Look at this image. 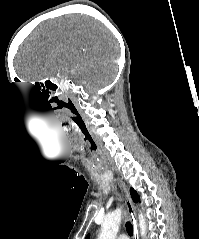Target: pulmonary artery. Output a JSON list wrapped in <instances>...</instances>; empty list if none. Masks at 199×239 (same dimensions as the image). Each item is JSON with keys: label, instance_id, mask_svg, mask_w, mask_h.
Listing matches in <instances>:
<instances>
[{"label": "pulmonary artery", "instance_id": "pulmonary-artery-1", "mask_svg": "<svg viewBox=\"0 0 199 239\" xmlns=\"http://www.w3.org/2000/svg\"><path fill=\"white\" fill-rule=\"evenodd\" d=\"M117 239H128V237L125 234H121V235L118 236Z\"/></svg>", "mask_w": 199, "mask_h": 239}]
</instances>
